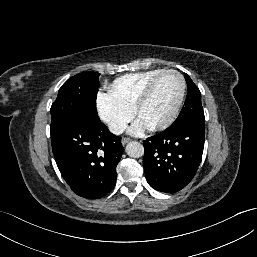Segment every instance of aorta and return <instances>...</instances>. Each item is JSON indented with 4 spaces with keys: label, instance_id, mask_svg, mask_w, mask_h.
Listing matches in <instances>:
<instances>
[{
    "label": "aorta",
    "instance_id": "aorta-1",
    "mask_svg": "<svg viewBox=\"0 0 257 257\" xmlns=\"http://www.w3.org/2000/svg\"><path fill=\"white\" fill-rule=\"evenodd\" d=\"M126 152L130 157L139 158L144 155V147L141 143L132 141L127 144Z\"/></svg>",
    "mask_w": 257,
    "mask_h": 257
}]
</instances>
